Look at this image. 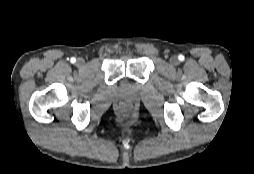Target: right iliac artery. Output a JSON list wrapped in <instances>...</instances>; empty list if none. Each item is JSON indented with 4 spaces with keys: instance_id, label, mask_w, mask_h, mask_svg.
Instances as JSON below:
<instances>
[{
    "instance_id": "1",
    "label": "right iliac artery",
    "mask_w": 254,
    "mask_h": 174,
    "mask_svg": "<svg viewBox=\"0 0 254 174\" xmlns=\"http://www.w3.org/2000/svg\"><path fill=\"white\" fill-rule=\"evenodd\" d=\"M76 61L75 58H71V62L74 63Z\"/></svg>"
}]
</instances>
